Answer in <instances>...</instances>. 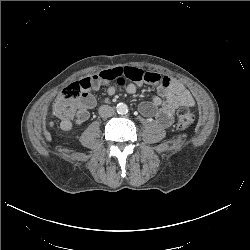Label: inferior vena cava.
Wrapping results in <instances>:
<instances>
[{
	"label": "inferior vena cava",
	"instance_id": "1",
	"mask_svg": "<svg viewBox=\"0 0 250 250\" xmlns=\"http://www.w3.org/2000/svg\"><path fill=\"white\" fill-rule=\"evenodd\" d=\"M99 115L103 118H108L114 115V109L109 105H102L99 108Z\"/></svg>",
	"mask_w": 250,
	"mask_h": 250
}]
</instances>
